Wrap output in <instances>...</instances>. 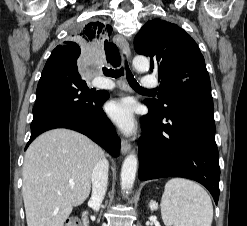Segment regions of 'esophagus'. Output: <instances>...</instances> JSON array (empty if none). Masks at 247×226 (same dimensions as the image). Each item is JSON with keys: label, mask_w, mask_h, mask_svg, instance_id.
<instances>
[{"label": "esophagus", "mask_w": 247, "mask_h": 226, "mask_svg": "<svg viewBox=\"0 0 247 226\" xmlns=\"http://www.w3.org/2000/svg\"><path fill=\"white\" fill-rule=\"evenodd\" d=\"M115 40H116L118 47L125 53L128 60H130L131 51H130V47H129V44H128L126 38L123 35H116ZM130 148H131V146H130L129 142L125 139H122V141H121L122 154L128 153Z\"/></svg>", "instance_id": "esophagus-1"}]
</instances>
